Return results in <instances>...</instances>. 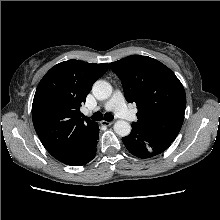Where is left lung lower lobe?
<instances>
[{"label":"left lung lower lobe","instance_id":"left-lung-lower-lobe-1","mask_svg":"<svg viewBox=\"0 0 220 220\" xmlns=\"http://www.w3.org/2000/svg\"><path fill=\"white\" fill-rule=\"evenodd\" d=\"M131 133L122 138L128 151L139 158H150L165 151L172 142L159 140L150 129L131 125Z\"/></svg>","mask_w":220,"mask_h":220}]
</instances>
